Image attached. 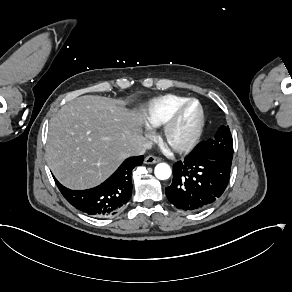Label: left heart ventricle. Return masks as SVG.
I'll return each mask as SVG.
<instances>
[{"mask_svg": "<svg viewBox=\"0 0 292 292\" xmlns=\"http://www.w3.org/2000/svg\"><path fill=\"white\" fill-rule=\"evenodd\" d=\"M197 113V106L192 104L189 108L181 115L180 119L174 126L171 136L175 141L183 140L190 132Z\"/></svg>", "mask_w": 292, "mask_h": 292, "instance_id": "obj_1", "label": "left heart ventricle"}]
</instances>
